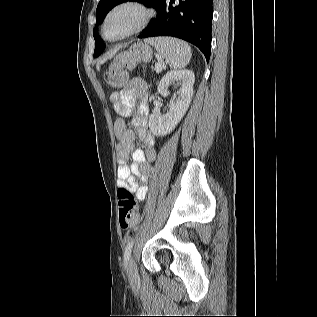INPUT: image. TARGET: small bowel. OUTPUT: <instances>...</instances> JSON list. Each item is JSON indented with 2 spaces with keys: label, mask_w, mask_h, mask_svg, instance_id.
<instances>
[{
  "label": "small bowel",
  "mask_w": 317,
  "mask_h": 317,
  "mask_svg": "<svg viewBox=\"0 0 317 317\" xmlns=\"http://www.w3.org/2000/svg\"><path fill=\"white\" fill-rule=\"evenodd\" d=\"M146 94L147 84L139 78H133L125 83L121 91L110 96V101L120 116L113 126L118 139V184L120 188L124 187L135 193L140 201L147 197L149 173L152 169L150 163L156 158L155 137L148 129L149 107ZM130 116H133L135 130L127 128L125 118ZM136 137L144 142L145 151L134 148ZM129 156L132 158L130 165L127 164Z\"/></svg>",
  "instance_id": "1"
}]
</instances>
